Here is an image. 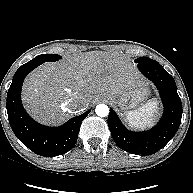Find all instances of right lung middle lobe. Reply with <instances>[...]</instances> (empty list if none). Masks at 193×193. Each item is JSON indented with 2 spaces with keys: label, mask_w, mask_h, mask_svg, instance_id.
I'll return each mask as SVG.
<instances>
[{
  "label": "right lung middle lobe",
  "mask_w": 193,
  "mask_h": 193,
  "mask_svg": "<svg viewBox=\"0 0 193 193\" xmlns=\"http://www.w3.org/2000/svg\"><path fill=\"white\" fill-rule=\"evenodd\" d=\"M59 58H61V56L57 55V54H43V55H39L36 56L34 59H32L29 62H37V63H44V62H54L59 60Z\"/></svg>",
  "instance_id": "right-lung-middle-lobe-1"
}]
</instances>
